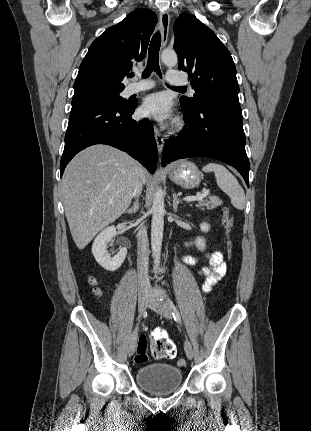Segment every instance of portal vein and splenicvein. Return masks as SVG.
Masks as SVG:
<instances>
[{
	"instance_id": "portal-vein-and-splenic-vein-1",
	"label": "portal vein and splenic vein",
	"mask_w": 311,
	"mask_h": 431,
	"mask_svg": "<svg viewBox=\"0 0 311 431\" xmlns=\"http://www.w3.org/2000/svg\"><path fill=\"white\" fill-rule=\"evenodd\" d=\"M210 190H203L202 194H197V196H186L183 198L185 202H197V200H203L206 196H209ZM109 204H113V202H109Z\"/></svg>"
}]
</instances>
